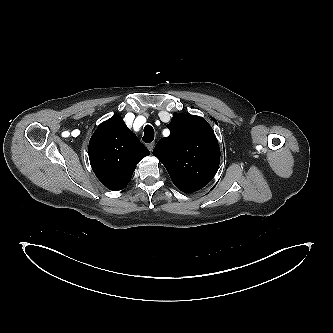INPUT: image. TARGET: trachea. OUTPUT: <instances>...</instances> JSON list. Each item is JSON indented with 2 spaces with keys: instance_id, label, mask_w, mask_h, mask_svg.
<instances>
[{
  "instance_id": "1",
  "label": "trachea",
  "mask_w": 333,
  "mask_h": 333,
  "mask_svg": "<svg viewBox=\"0 0 333 333\" xmlns=\"http://www.w3.org/2000/svg\"><path fill=\"white\" fill-rule=\"evenodd\" d=\"M154 140V129L150 125H146L144 127V136L143 141L146 143H150Z\"/></svg>"
}]
</instances>
